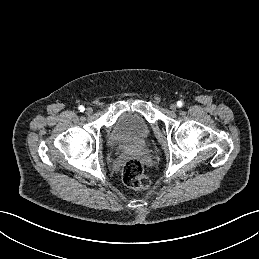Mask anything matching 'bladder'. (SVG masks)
Wrapping results in <instances>:
<instances>
[{"label":"bladder","mask_w":259,"mask_h":259,"mask_svg":"<svg viewBox=\"0 0 259 259\" xmlns=\"http://www.w3.org/2000/svg\"><path fill=\"white\" fill-rule=\"evenodd\" d=\"M151 135L148 122L137 112L121 113L113 125L110 142L121 147L145 144Z\"/></svg>","instance_id":"31cf9c89"}]
</instances>
